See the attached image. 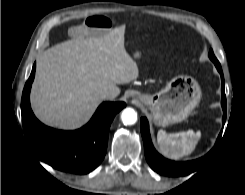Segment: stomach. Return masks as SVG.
I'll list each match as a JSON object with an SVG mask.
<instances>
[{
    "label": "stomach",
    "instance_id": "stomach-1",
    "mask_svg": "<svg viewBox=\"0 0 245 195\" xmlns=\"http://www.w3.org/2000/svg\"><path fill=\"white\" fill-rule=\"evenodd\" d=\"M134 57H140V53L136 51ZM201 97L198 82L186 75L174 77L153 95L137 93V99L151 111L154 123L163 127L184 121Z\"/></svg>",
    "mask_w": 245,
    "mask_h": 195
}]
</instances>
